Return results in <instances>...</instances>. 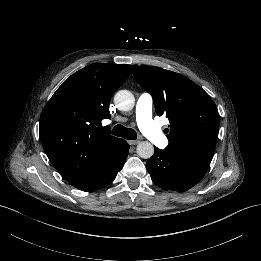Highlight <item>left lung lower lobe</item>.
<instances>
[{
	"label": "left lung lower lobe",
	"instance_id": "obj_1",
	"mask_svg": "<svg viewBox=\"0 0 261 261\" xmlns=\"http://www.w3.org/2000/svg\"><path fill=\"white\" fill-rule=\"evenodd\" d=\"M154 149L146 168L152 181L164 190L187 191L200 182L212 160L198 152Z\"/></svg>",
	"mask_w": 261,
	"mask_h": 261
}]
</instances>
